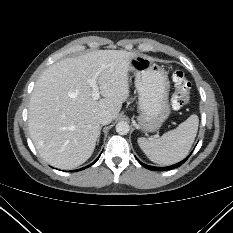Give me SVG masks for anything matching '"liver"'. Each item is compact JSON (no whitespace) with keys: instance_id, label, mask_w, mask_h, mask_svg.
Returning <instances> with one entry per match:
<instances>
[{"instance_id":"6515ba94","label":"liver","mask_w":233,"mask_h":233,"mask_svg":"<svg viewBox=\"0 0 233 233\" xmlns=\"http://www.w3.org/2000/svg\"><path fill=\"white\" fill-rule=\"evenodd\" d=\"M125 50H97L49 66L31 94L28 124L39 155L50 165L72 169L92 155L99 136V114L115 119L129 97ZM96 78L104 97L94 100L87 80Z\"/></svg>"}]
</instances>
